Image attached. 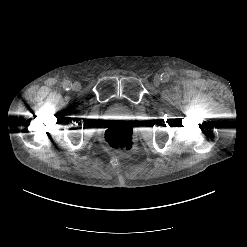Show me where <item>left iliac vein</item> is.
<instances>
[{
    "mask_svg": "<svg viewBox=\"0 0 247 247\" xmlns=\"http://www.w3.org/2000/svg\"><path fill=\"white\" fill-rule=\"evenodd\" d=\"M160 82H161V78L159 76H155L153 80L154 85L158 86Z\"/></svg>",
    "mask_w": 247,
    "mask_h": 247,
    "instance_id": "left-iliac-vein-1",
    "label": "left iliac vein"
}]
</instances>
